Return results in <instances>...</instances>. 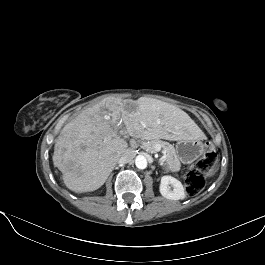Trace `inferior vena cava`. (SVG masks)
Returning <instances> with one entry per match:
<instances>
[{
	"label": "inferior vena cava",
	"instance_id": "1",
	"mask_svg": "<svg viewBox=\"0 0 265 265\" xmlns=\"http://www.w3.org/2000/svg\"><path fill=\"white\" fill-rule=\"evenodd\" d=\"M134 157V152L130 149H127L122 156L118 159L119 163H128L130 161H132Z\"/></svg>",
	"mask_w": 265,
	"mask_h": 265
}]
</instances>
